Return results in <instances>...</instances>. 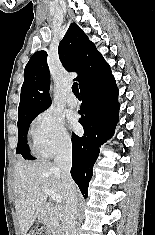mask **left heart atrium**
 I'll return each mask as SVG.
<instances>
[{
	"label": "left heart atrium",
	"instance_id": "1",
	"mask_svg": "<svg viewBox=\"0 0 155 235\" xmlns=\"http://www.w3.org/2000/svg\"><path fill=\"white\" fill-rule=\"evenodd\" d=\"M69 122H70V125H71V127H72L73 129H76V128L78 127V123H77V118H76V116L71 115V116L69 117Z\"/></svg>",
	"mask_w": 155,
	"mask_h": 235
}]
</instances>
